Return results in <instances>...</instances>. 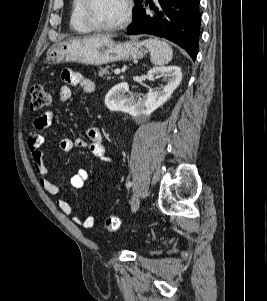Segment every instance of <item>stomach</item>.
Instances as JSON below:
<instances>
[{
	"label": "stomach",
	"mask_w": 267,
	"mask_h": 301,
	"mask_svg": "<svg viewBox=\"0 0 267 301\" xmlns=\"http://www.w3.org/2000/svg\"><path fill=\"white\" fill-rule=\"evenodd\" d=\"M146 53L144 45L137 40L116 43L110 37L71 38L52 45L45 62L52 65L75 62L98 66L120 60L141 59Z\"/></svg>",
	"instance_id": "obj_1"
}]
</instances>
